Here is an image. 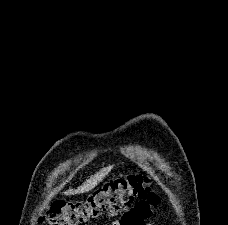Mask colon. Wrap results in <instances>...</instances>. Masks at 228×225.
Returning a JSON list of instances; mask_svg holds the SVG:
<instances>
[{
  "label": "colon",
  "mask_w": 228,
  "mask_h": 225,
  "mask_svg": "<svg viewBox=\"0 0 228 225\" xmlns=\"http://www.w3.org/2000/svg\"><path fill=\"white\" fill-rule=\"evenodd\" d=\"M137 199L160 203L143 176H127L100 187L85 200H55L40 221L43 225H81L106 212L128 207Z\"/></svg>",
  "instance_id": "5ec220e1"
}]
</instances>
